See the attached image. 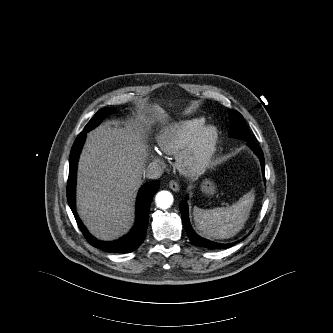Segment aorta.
Here are the masks:
<instances>
[{"mask_svg":"<svg viewBox=\"0 0 333 333\" xmlns=\"http://www.w3.org/2000/svg\"><path fill=\"white\" fill-rule=\"evenodd\" d=\"M155 201L160 209H168L173 203V195L169 191H160L157 193Z\"/></svg>","mask_w":333,"mask_h":333,"instance_id":"obj_1","label":"aorta"}]
</instances>
